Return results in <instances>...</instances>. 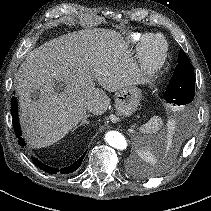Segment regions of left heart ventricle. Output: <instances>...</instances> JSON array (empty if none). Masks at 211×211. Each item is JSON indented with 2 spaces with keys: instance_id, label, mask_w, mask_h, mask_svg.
Wrapping results in <instances>:
<instances>
[{
  "instance_id": "1",
  "label": "left heart ventricle",
  "mask_w": 211,
  "mask_h": 211,
  "mask_svg": "<svg viewBox=\"0 0 211 211\" xmlns=\"http://www.w3.org/2000/svg\"><path fill=\"white\" fill-rule=\"evenodd\" d=\"M161 46V41L156 38H153L149 40L147 44V52L150 56L156 57L160 53Z\"/></svg>"
}]
</instances>
